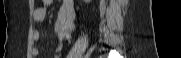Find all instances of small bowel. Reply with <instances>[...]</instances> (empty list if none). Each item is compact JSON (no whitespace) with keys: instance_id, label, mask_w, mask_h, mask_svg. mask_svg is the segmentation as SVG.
I'll list each match as a JSON object with an SVG mask.
<instances>
[{"instance_id":"small-bowel-1","label":"small bowel","mask_w":181,"mask_h":58,"mask_svg":"<svg viewBox=\"0 0 181 58\" xmlns=\"http://www.w3.org/2000/svg\"><path fill=\"white\" fill-rule=\"evenodd\" d=\"M50 3V0H44V5L38 7L33 12V20L36 23H42L46 19V5ZM76 17V7L74 1L66 0L63 6L60 8L57 20L55 22L54 31L57 38L60 41V44L56 50L55 58L60 56L62 50V43L65 40L70 39V34L74 29V21ZM32 38L35 42L40 39V33L38 30H34L32 33ZM39 48L37 45H34L32 48V54L38 55Z\"/></svg>"}]
</instances>
